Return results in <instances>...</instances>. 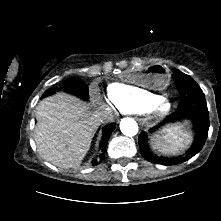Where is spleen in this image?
I'll return each instance as SVG.
<instances>
[{
	"mask_svg": "<svg viewBox=\"0 0 221 221\" xmlns=\"http://www.w3.org/2000/svg\"><path fill=\"white\" fill-rule=\"evenodd\" d=\"M191 142L190 129L184 123L165 128L152 139V146L158 152L176 154Z\"/></svg>",
	"mask_w": 221,
	"mask_h": 221,
	"instance_id": "1",
	"label": "spleen"
}]
</instances>
